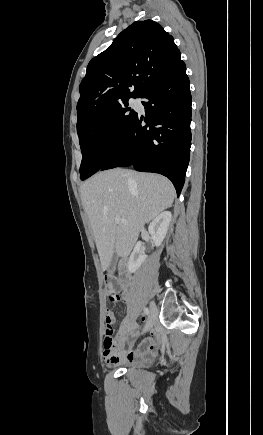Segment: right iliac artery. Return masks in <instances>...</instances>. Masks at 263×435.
Masks as SVG:
<instances>
[{"mask_svg": "<svg viewBox=\"0 0 263 435\" xmlns=\"http://www.w3.org/2000/svg\"><path fill=\"white\" fill-rule=\"evenodd\" d=\"M144 313H145V315H148L149 314V309L148 308H144Z\"/></svg>", "mask_w": 263, "mask_h": 435, "instance_id": "1", "label": "right iliac artery"}]
</instances>
